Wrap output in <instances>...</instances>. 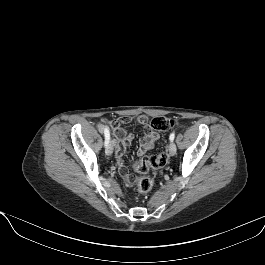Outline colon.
<instances>
[{
	"mask_svg": "<svg viewBox=\"0 0 265 265\" xmlns=\"http://www.w3.org/2000/svg\"><path fill=\"white\" fill-rule=\"evenodd\" d=\"M150 126L158 131H167L175 126V121L169 117L158 116L151 120ZM168 160V153L163 151L157 155L139 159L134 163L135 171L140 174L139 178L137 179V187L141 193L149 192L153 186V181L149 176H147V173L151 169L163 168L167 164Z\"/></svg>",
	"mask_w": 265,
	"mask_h": 265,
	"instance_id": "colon-1",
	"label": "colon"
}]
</instances>
